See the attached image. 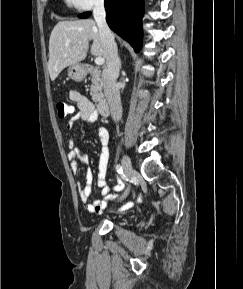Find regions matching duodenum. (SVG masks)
<instances>
[{
	"mask_svg": "<svg viewBox=\"0 0 243 289\" xmlns=\"http://www.w3.org/2000/svg\"><path fill=\"white\" fill-rule=\"evenodd\" d=\"M96 105H97V111L101 117L104 118V117H107L109 115V113H110L109 105L105 99L99 98L97 100Z\"/></svg>",
	"mask_w": 243,
	"mask_h": 289,
	"instance_id": "duodenum-1",
	"label": "duodenum"
}]
</instances>
